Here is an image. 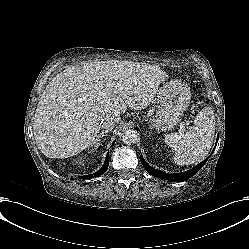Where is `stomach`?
<instances>
[{
  "label": "stomach",
  "instance_id": "stomach-1",
  "mask_svg": "<svg viewBox=\"0 0 249 249\" xmlns=\"http://www.w3.org/2000/svg\"><path fill=\"white\" fill-rule=\"evenodd\" d=\"M190 99L191 92L185 84L170 82L163 85L157 93L156 116L148 120L150 126L162 131L173 129L187 110Z\"/></svg>",
  "mask_w": 249,
  "mask_h": 249
}]
</instances>
